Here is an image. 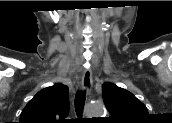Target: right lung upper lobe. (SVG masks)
I'll return each mask as SVG.
<instances>
[{"instance_id": "obj_1", "label": "right lung upper lobe", "mask_w": 172, "mask_h": 123, "mask_svg": "<svg viewBox=\"0 0 172 123\" xmlns=\"http://www.w3.org/2000/svg\"><path fill=\"white\" fill-rule=\"evenodd\" d=\"M69 111L68 87L60 83L40 90L25 106L20 123H64Z\"/></svg>"}]
</instances>
